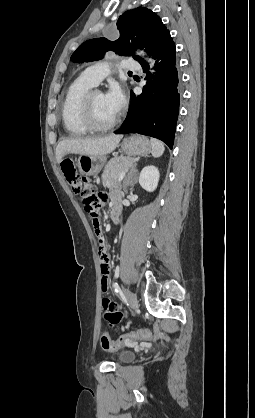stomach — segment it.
Listing matches in <instances>:
<instances>
[{
    "label": "stomach",
    "mask_w": 255,
    "mask_h": 418,
    "mask_svg": "<svg viewBox=\"0 0 255 418\" xmlns=\"http://www.w3.org/2000/svg\"><path fill=\"white\" fill-rule=\"evenodd\" d=\"M121 150L128 157L147 155L151 150V144L146 137L133 135L125 138L120 144ZM106 162L104 155H81L77 167L82 175L94 176L100 172Z\"/></svg>",
    "instance_id": "1"
}]
</instances>
